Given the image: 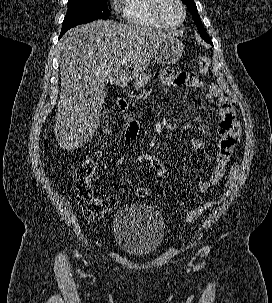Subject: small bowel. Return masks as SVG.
Here are the masks:
<instances>
[{"mask_svg":"<svg viewBox=\"0 0 272 303\" xmlns=\"http://www.w3.org/2000/svg\"><path fill=\"white\" fill-rule=\"evenodd\" d=\"M162 82L168 86H188L195 89H204L205 98L216 99L218 110L219 125L217 141L218 153L214 156L206 153L207 142L203 139H194L191 142V147L194 151L205 152L204 157L207 160H213L214 166L208 180L199 179L196 182V187L199 191L205 192L210 187L216 186L223 178L230 157L237 146L241 128L237 121L232 103L226 97L217 84H205L195 74L166 69L161 74ZM137 131L130 132L126 135L127 141H132L136 138Z\"/></svg>","mask_w":272,"mask_h":303,"instance_id":"small-bowel-1","label":"small bowel"}]
</instances>
